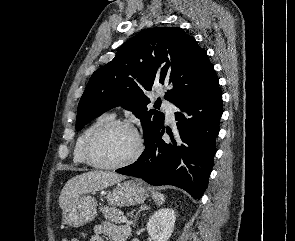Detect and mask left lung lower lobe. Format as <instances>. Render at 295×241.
<instances>
[{
  "label": "left lung lower lobe",
  "instance_id": "obj_1",
  "mask_svg": "<svg viewBox=\"0 0 295 241\" xmlns=\"http://www.w3.org/2000/svg\"><path fill=\"white\" fill-rule=\"evenodd\" d=\"M176 131L166 129L171 140H162V125L133 164L117 169L154 186L173 185L200 199L216 153V137L222 116V93L217 76L176 103Z\"/></svg>",
  "mask_w": 295,
  "mask_h": 241
}]
</instances>
